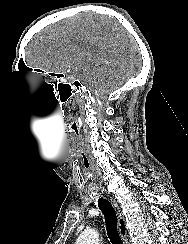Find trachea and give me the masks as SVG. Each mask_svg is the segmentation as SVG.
<instances>
[{
    "instance_id": "1",
    "label": "trachea",
    "mask_w": 188,
    "mask_h": 244,
    "mask_svg": "<svg viewBox=\"0 0 188 244\" xmlns=\"http://www.w3.org/2000/svg\"><path fill=\"white\" fill-rule=\"evenodd\" d=\"M98 207L105 217L106 230L111 243L123 244L118 232L117 215L111 203L106 199L99 198Z\"/></svg>"
}]
</instances>
